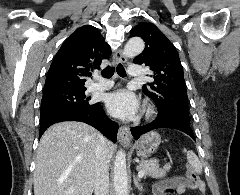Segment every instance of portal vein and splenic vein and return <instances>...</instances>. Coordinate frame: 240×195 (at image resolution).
<instances>
[{"label":"portal vein and splenic vein","instance_id":"obj_1","mask_svg":"<svg viewBox=\"0 0 240 195\" xmlns=\"http://www.w3.org/2000/svg\"><path fill=\"white\" fill-rule=\"evenodd\" d=\"M144 173H145V171H142V169H141V171H138V177H143ZM69 193H73V189H71V191H69Z\"/></svg>","mask_w":240,"mask_h":195}]
</instances>
